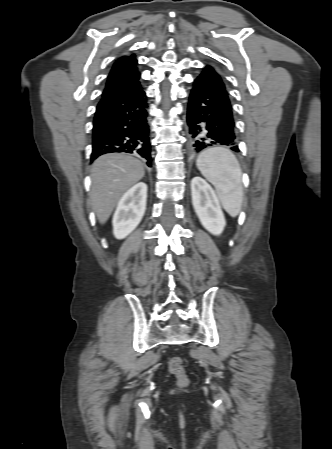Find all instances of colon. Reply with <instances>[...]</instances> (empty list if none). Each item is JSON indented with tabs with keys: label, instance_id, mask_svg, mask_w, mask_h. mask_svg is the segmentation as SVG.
Segmentation results:
<instances>
[{
	"label": "colon",
	"instance_id": "1",
	"mask_svg": "<svg viewBox=\"0 0 332 449\" xmlns=\"http://www.w3.org/2000/svg\"><path fill=\"white\" fill-rule=\"evenodd\" d=\"M169 370L174 374L180 382L185 383L187 376L183 366V360L180 357H173L169 361Z\"/></svg>",
	"mask_w": 332,
	"mask_h": 449
}]
</instances>
